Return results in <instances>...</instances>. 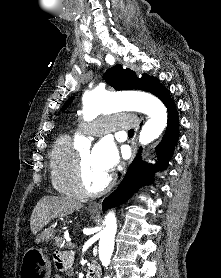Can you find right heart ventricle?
<instances>
[{
    "instance_id": "e07e8e85",
    "label": "right heart ventricle",
    "mask_w": 221,
    "mask_h": 278,
    "mask_svg": "<svg viewBox=\"0 0 221 278\" xmlns=\"http://www.w3.org/2000/svg\"><path fill=\"white\" fill-rule=\"evenodd\" d=\"M76 154L70 137L67 135L59 137L49 155V172L52 186L58 193L68 198L80 199L82 194L74 181Z\"/></svg>"
}]
</instances>
